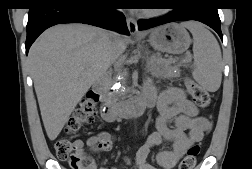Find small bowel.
Wrapping results in <instances>:
<instances>
[{
	"label": "small bowel",
	"mask_w": 252,
	"mask_h": 169,
	"mask_svg": "<svg viewBox=\"0 0 252 169\" xmlns=\"http://www.w3.org/2000/svg\"><path fill=\"white\" fill-rule=\"evenodd\" d=\"M142 95L156 100L159 116L156 120L157 131L152 133L137 151L135 167L136 169H156L146 162L151 149L162 142H170L172 149L156 153L155 160L162 169H172L191 146L203 139L210 129V123L199 115L198 108L187 98L182 89L169 88L157 94L155 87L148 85L144 88ZM172 120L175 126L169 127L168 124ZM86 144L91 151L96 153L109 151L113 147V136L107 131H101L90 136ZM81 156L88 160V165L84 169H97L95 159L83 149ZM123 161L126 164L130 163V159L126 157Z\"/></svg>",
	"instance_id": "c3829d8e"
}]
</instances>
